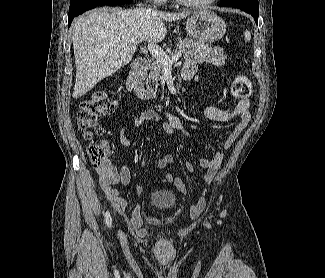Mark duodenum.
Listing matches in <instances>:
<instances>
[{
	"instance_id": "duodenum-1",
	"label": "duodenum",
	"mask_w": 325,
	"mask_h": 278,
	"mask_svg": "<svg viewBox=\"0 0 325 278\" xmlns=\"http://www.w3.org/2000/svg\"><path fill=\"white\" fill-rule=\"evenodd\" d=\"M148 67L149 64L147 60L144 58H139L134 62L126 82V88L132 96L138 95L140 81L144 77L145 73L147 72ZM184 77L186 79H189L188 73H184Z\"/></svg>"
}]
</instances>
